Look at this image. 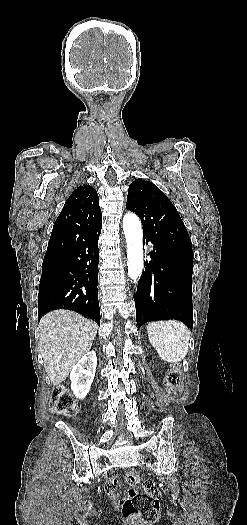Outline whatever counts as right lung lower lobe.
<instances>
[{
	"label": "right lung lower lobe",
	"mask_w": 247,
	"mask_h": 525,
	"mask_svg": "<svg viewBox=\"0 0 247 525\" xmlns=\"http://www.w3.org/2000/svg\"><path fill=\"white\" fill-rule=\"evenodd\" d=\"M100 233L58 259L43 262L38 294V321L46 312L69 309L100 324L98 239Z\"/></svg>",
	"instance_id": "98d812e1"
}]
</instances>
